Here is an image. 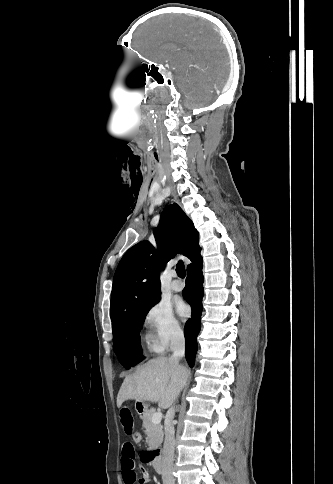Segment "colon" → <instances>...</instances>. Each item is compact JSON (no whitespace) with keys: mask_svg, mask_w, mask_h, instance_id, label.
I'll return each mask as SVG.
<instances>
[{"mask_svg":"<svg viewBox=\"0 0 333 484\" xmlns=\"http://www.w3.org/2000/svg\"><path fill=\"white\" fill-rule=\"evenodd\" d=\"M132 438L135 443H140L142 440V435L140 432L135 431L132 435Z\"/></svg>","mask_w":333,"mask_h":484,"instance_id":"colon-1","label":"colon"}]
</instances>
